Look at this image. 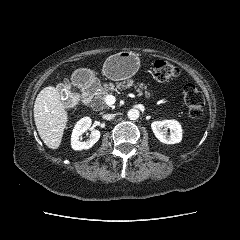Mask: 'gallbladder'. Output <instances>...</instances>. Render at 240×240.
I'll list each match as a JSON object with an SVG mask.
<instances>
[{"label": "gallbladder", "instance_id": "1", "mask_svg": "<svg viewBox=\"0 0 240 240\" xmlns=\"http://www.w3.org/2000/svg\"><path fill=\"white\" fill-rule=\"evenodd\" d=\"M56 89H57L58 92L61 93L62 90L64 89V85L60 83V84L57 85ZM61 96L63 97V96H65V95H61ZM62 104H63L64 106L70 105V104H71V98H70V97L65 98V99L62 101Z\"/></svg>", "mask_w": 240, "mask_h": 240}]
</instances>
